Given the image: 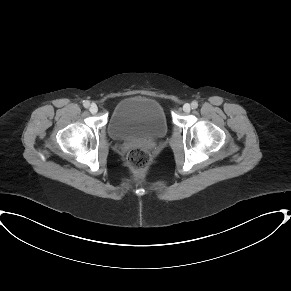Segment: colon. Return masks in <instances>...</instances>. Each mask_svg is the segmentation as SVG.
I'll list each match as a JSON object with an SVG mask.
<instances>
[{"label":"colon","instance_id":"colon-1","mask_svg":"<svg viewBox=\"0 0 291 291\" xmlns=\"http://www.w3.org/2000/svg\"><path fill=\"white\" fill-rule=\"evenodd\" d=\"M151 160L150 152L145 147H136L129 151L127 162L136 178H145Z\"/></svg>","mask_w":291,"mask_h":291}]
</instances>
